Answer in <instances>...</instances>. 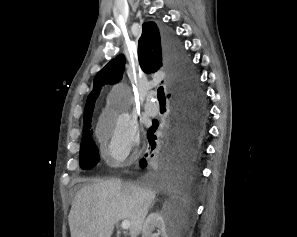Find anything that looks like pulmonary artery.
I'll use <instances>...</instances> for the list:
<instances>
[{"label":"pulmonary artery","mask_w":297,"mask_h":237,"mask_svg":"<svg viewBox=\"0 0 297 237\" xmlns=\"http://www.w3.org/2000/svg\"><path fill=\"white\" fill-rule=\"evenodd\" d=\"M151 98H152V95H149V97L146 100L144 108L149 115H156L159 111V106L157 103L153 102Z\"/></svg>","instance_id":"pulmonary-artery-1"}]
</instances>
